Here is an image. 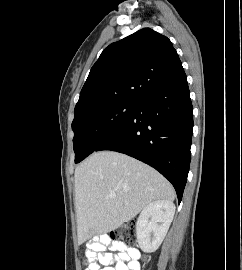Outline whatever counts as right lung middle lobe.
Returning <instances> with one entry per match:
<instances>
[{
  "label": "right lung middle lobe",
  "mask_w": 242,
  "mask_h": 270,
  "mask_svg": "<svg viewBox=\"0 0 242 270\" xmlns=\"http://www.w3.org/2000/svg\"><path fill=\"white\" fill-rule=\"evenodd\" d=\"M136 100H118L82 112L74 117L75 163L85 159L124 124Z\"/></svg>",
  "instance_id": "obj_1"
}]
</instances>
